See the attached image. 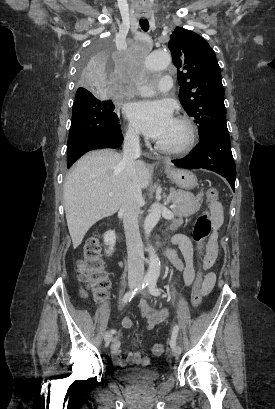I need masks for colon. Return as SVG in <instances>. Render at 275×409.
Instances as JSON below:
<instances>
[{
    "label": "colon",
    "instance_id": "1",
    "mask_svg": "<svg viewBox=\"0 0 275 409\" xmlns=\"http://www.w3.org/2000/svg\"><path fill=\"white\" fill-rule=\"evenodd\" d=\"M218 190L211 188L207 191V199L213 204L218 198ZM211 232V219L209 211H204L196 220L193 230L194 240L197 242V253L199 257L203 256L204 244ZM101 242L98 235L94 234L89 237L83 246V257L78 262L79 281L85 285L80 289V294L86 296L91 293L94 297L100 296L105 292L109 286L110 281L102 269L101 261ZM204 273L202 270L198 271L196 281L194 283L191 303L193 307H198L206 294L204 288ZM153 356L155 358H162L164 355V344L162 342H155L153 344Z\"/></svg>",
    "mask_w": 275,
    "mask_h": 409
}]
</instances>
